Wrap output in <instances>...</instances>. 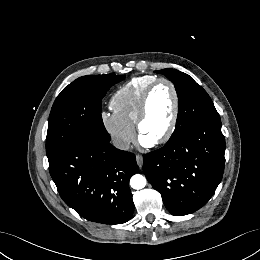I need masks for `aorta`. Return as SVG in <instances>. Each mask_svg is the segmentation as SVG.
Listing matches in <instances>:
<instances>
[{
	"label": "aorta",
	"mask_w": 260,
	"mask_h": 260,
	"mask_svg": "<svg viewBox=\"0 0 260 260\" xmlns=\"http://www.w3.org/2000/svg\"><path fill=\"white\" fill-rule=\"evenodd\" d=\"M147 180L141 174H135L130 179V185L133 189L139 190L146 186Z\"/></svg>",
	"instance_id": "obj_1"
}]
</instances>
